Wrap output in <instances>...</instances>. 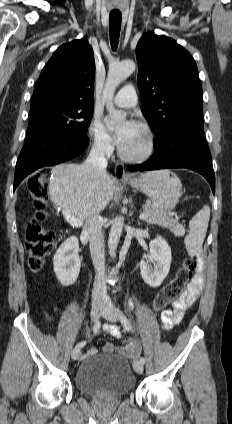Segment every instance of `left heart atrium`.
<instances>
[{"label":"left heart atrium","instance_id":"left-heart-atrium-1","mask_svg":"<svg viewBox=\"0 0 232 424\" xmlns=\"http://www.w3.org/2000/svg\"><path fill=\"white\" fill-rule=\"evenodd\" d=\"M137 127V123L133 120H127L121 127L118 129L115 135V141L118 146L123 147L134 130Z\"/></svg>","mask_w":232,"mask_h":424}]
</instances>
